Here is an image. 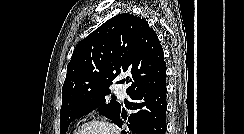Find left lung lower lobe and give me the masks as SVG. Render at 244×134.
I'll list each match as a JSON object with an SVG mask.
<instances>
[{
    "label": "left lung lower lobe",
    "mask_w": 244,
    "mask_h": 134,
    "mask_svg": "<svg viewBox=\"0 0 244 134\" xmlns=\"http://www.w3.org/2000/svg\"><path fill=\"white\" fill-rule=\"evenodd\" d=\"M133 102L126 100L128 109L138 110L127 120L131 134H165L166 130V84L142 89L128 94ZM123 113L119 115L116 124L122 127Z\"/></svg>",
    "instance_id": "0a47b994"
}]
</instances>
